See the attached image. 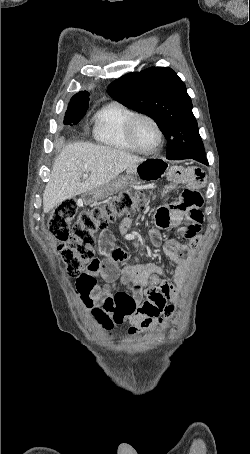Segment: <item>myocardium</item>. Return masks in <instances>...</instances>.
<instances>
[{
    "instance_id": "1",
    "label": "myocardium",
    "mask_w": 250,
    "mask_h": 454,
    "mask_svg": "<svg viewBox=\"0 0 250 454\" xmlns=\"http://www.w3.org/2000/svg\"><path fill=\"white\" fill-rule=\"evenodd\" d=\"M141 120H147L149 121L151 124H153V126L155 127L157 133H158V137H159V140H158V143L157 145L150 149V150H146L144 148H142L139 143L137 142L136 140V135H135V130H136V126H137V123ZM127 138L130 142V144L140 153L142 154H154L156 153L163 145V142H164V132L160 126V124L158 123V121L148 115V114H143V113H136L133 117L130 118V120L128 121V124H127Z\"/></svg>"
}]
</instances>
